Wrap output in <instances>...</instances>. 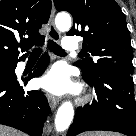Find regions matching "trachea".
I'll return each mask as SVG.
<instances>
[{
	"mask_svg": "<svg viewBox=\"0 0 136 136\" xmlns=\"http://www.w3.org/2000/svg\"><path fill=\"white\" fill-rule=\"evenodd\" d=\"M48 48L50 51L57 55H66L65 51L57 45L54 41L49 40L48 41ZM41 54V49L40 48H34L32 50L31 55H40Z\"/></svg>",
	"mask_w": 136,
	"mask_h": 136,
	"instance_id": "3493384b",
	"label": "trachea"
}]
</instances>
